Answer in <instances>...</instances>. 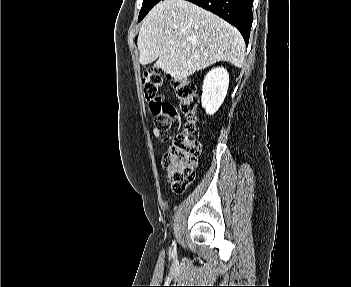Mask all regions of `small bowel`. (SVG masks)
I'll list each match as a JSON object with an SVG mask.
<instances>
[{
    "instance_id": "c3829d8e",
    "label": "small bowel",
    "mask_w": 351,
    "mask_h": 287,
    "mask_svg": "<svg viewBox=\"0 0 351 287\" xmlns=\"http://www.w3.org/2000/svg\"><path fill=\"white\" fill-rule=\"evenodd\" d=\"M180 122H181V117H180V115H176V116L173 118V120H172V123H174V124H179ZM151 133H152V135L155 136V137H161V136H163V132L160 131V130L157 129V128H153V129L151 130Z\"/></svg>"
}]
</instances>
